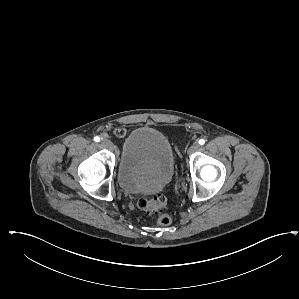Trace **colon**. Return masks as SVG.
I'll return each instance as SVG.
<instances>
[{
    "mask_svg": "<svg viewBox=\"0 0 299 299\" xmlns=\"http://www.w3.org/2000/svg\"><path fill=\"white\" fill-rule=\"evenodd\" d=\"M167 204V199L163 195H157L151 199L140 198L137 201V206L139 209L153 213L159 212L165 208ZM172 219L167 213H159L157 217V223L161 226H167L171 223Z\"/></svg>",
    "mask_w": 299,
    "mask_h": 299,
    "instance_id": "colon-1",
    "label": "colon"
}]
</instances>
